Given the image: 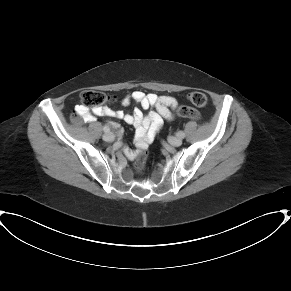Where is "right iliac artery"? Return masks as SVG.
I'll use <instances>...</instances> for the list:
<instances>
[{
    "label": "right iliac artery",
    "mask_w": 291,
    "mask_h": 291,
    "mask_svg": "<svg viewBox=\"0 0 291 291\" xmlns=\"http://www.w3.org/2000/svg\"><path fill=\"white\" fill-rule=\"evenodd\" d=\"M103 130L106 133H109L110 132V128L108 126H104Z\"/></svg>",
    "instance_id": "82829eb1"
}]
</instances>
